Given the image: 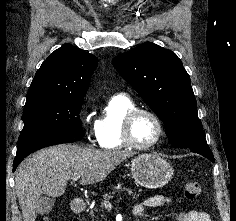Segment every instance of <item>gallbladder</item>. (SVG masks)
Instances as JSON below:
<instances>
[{"label":"gallbladder","instance_id":"gallbladder-1","mask_svg":"<svg viewBox=\"0 0 236 221\" xmlns=\"http://www.w3.org/2000/svg\"><path fill=\"white\" fill-rule=\"evenodd\" d=\"M55 200L53 198L43 196L39 199V206L37 213L40 215L48 214L54 207Z\"/></svg>","mask_w":236,"mask_h":221}]
</instances>
